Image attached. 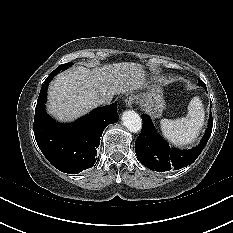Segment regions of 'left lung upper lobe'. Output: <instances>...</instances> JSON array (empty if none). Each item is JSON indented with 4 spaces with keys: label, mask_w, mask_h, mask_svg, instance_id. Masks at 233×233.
Returning a JSON list of instances; mask_svg holds the SVG:
<instances>
[{
    "label": "left lung upper lobe",
    "mask_w": 233,
    "mask_h": 233,
    "mask_svg": "<svg viewBox=\"0 0 233 233\" xmlns=\"http://www.w3.org/2000/svg\"><path fill=\"white\" fill-rule=\"evenodd\" d=\"M198 84H199V86L206 87L205 83L203 81H201V80H198Z\"/></svg>",
    "instance_id": "1"
}]
</instances>
